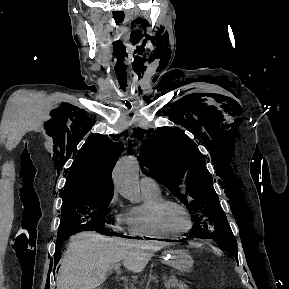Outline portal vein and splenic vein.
<instances>
[{"label": "portal vein and splenic vein", "instance_id": "portal-vein-and-splenic-vein-1", "mask_svg": "<svg viewBox=\"0 0 289 289\" xmlns=\"http://www.w3.org/2000/svg\"><path fill=\"white\" fill-rule=\"evenodd\" d=\"M119 264H116L115 266H114V269L116 270V272H119ZM165 286L167 287V288H169L170 287V285H168V284H165Z\"/></svg>", "mask_w": 289, "mask_h": 289}]
</instances>
